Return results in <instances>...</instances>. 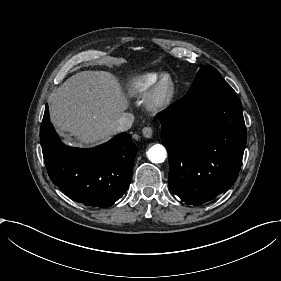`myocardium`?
I'll list each match as a JSON object with an SVG mask.
<instances>
[{"label": "myocardium", "instance_id": "obj_1", "mask_svg": "<svg viewBox=\"0 0 281 281\" xmlns=\"http://www.w3.org/2000/svg\"><path fill=\"white\" fill-rule=\"evenodd\" d=\"M175 94V84L171 77L164 75L152 87L148 98V107L153 111L166 108Z\"/></svg>", "mask_w": 281, "mask_h": 281}]
</instances>
